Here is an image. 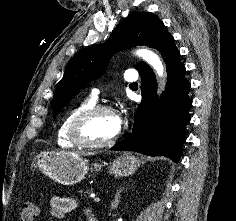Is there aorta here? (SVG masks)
Instances as JSON below:
<instances>
[{
	"mask_svg": "<svg viewBox=\"0 0 236 221\" xmlns=\"http://www.w3.org/2000/svg\"><path fill=\"white\" fill-rule=\"evenodd\" d=\"M136 55L142 57L148 64H150L160 77L163 76V64L160 58L154 52L148 49H139L136 51Z\"/></svg>",
	"mask_w": 236,
	"mask_h": 221,
	"instance_id": "762f6f07",
	"label": "aorta"
}]
</instances>
